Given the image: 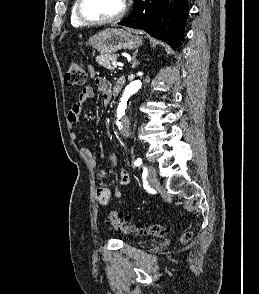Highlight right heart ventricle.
I'll return each instance as SVG.
<instances>
[{"mask_svg": "<svg viewBox=\"0 0 259 294\" xmlns=\"http://www.w3.org/2000/svg\"><path fill=\"white\" fill-rule=\"evenodd\" d=\"M76 3H77V0H74L72 8H71L70 22L73 27L81 28V27H84L85 25L82 24L76 16V9H75Z\"/></svg>", "mask_w": 259, "mask_h": 294, "instance_id": "obj_1", "label": "right heart ventricle"}]
</instances>
